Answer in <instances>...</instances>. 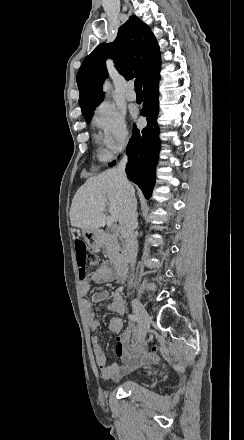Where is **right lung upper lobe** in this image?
Segmentation results:
<instances>
[{
  "label": "right lung upper lobe",
  "mask_w": 244,
  "mask_h": 440,
  "mask_svg": "<svg viewBox=\"0 0 244 440\" xmlns=\"http://www.w3.org/2000/svg\"><path fill=\"white\" fill-rule=\"evenodd\" d=\"M111 58L126 79H144L160 65V51L151 29L137 16H131L118 30L116 39L98 45L88 55L78 74L79 105L82 112L96 108L103 99L102 83L107 75L105 60ZM130 71H135L130 75Z\"/></svg>",
  "instance_id": "cb5924a9"
}]
</instances>
